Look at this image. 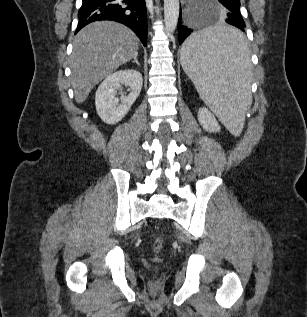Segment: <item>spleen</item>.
<instances>
[{
    "label": "spleen",
    "mask_w": 307,
    "mask_h": 317,
    "mask_svg": "<svg viewBox=\"0 0 307 317\" xmlns=\"http://www.w3.org/2000/svg\"><path fill=\"white\" fill-rule=\"evenodd\" d=\"M248 37L233 26H204L183 44L180 60L205 104L238 136L252 103Z\"/></svg>",
    "instance_id": "3e777b00"
}]
</instances>
